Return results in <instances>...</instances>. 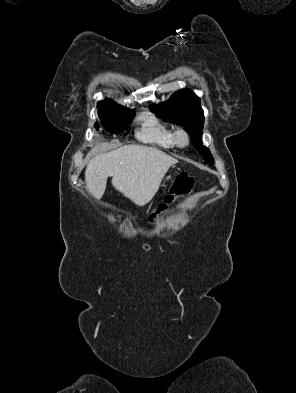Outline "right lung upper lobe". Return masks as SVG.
<instances>
[{"instance_id":"1","label":"right lung upper lobe","mask_w":296,"mask_h":393,"mask_svg":"<svg viewBox=\"0 0 296 393\" xmlns=\"http://www.w3.org/2000/svg\"><path fill=\"white\" fill-rule=\"evenodd\" d=\"M106 102H113L112 100L105 99L104 101L99 102L98 104L106 103Z\"/></svg>"}]
</instances>
